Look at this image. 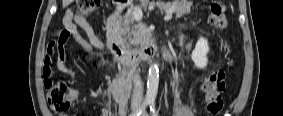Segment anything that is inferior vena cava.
<instances>
[{
    "label": "inferior vena cava",
    "mask_w": 283,
    "mask_h": 116,
    "mask_svg": "<svg viewBox=\"0 0 283 116\" xmlns=\"http://www.w3.org/2000/svg\"><path fill=\"white\" fill-rule=\"evenodd\" d=\"M131 78L134 82V89L131 97V102L140 104L143 100V88H142V81L139 72L136 70V67L131 69Z\"/></svg>",
    "instance_id": "obj_1"
}]
</instances>
